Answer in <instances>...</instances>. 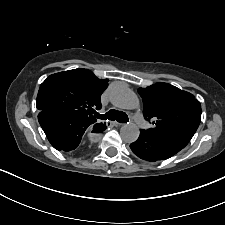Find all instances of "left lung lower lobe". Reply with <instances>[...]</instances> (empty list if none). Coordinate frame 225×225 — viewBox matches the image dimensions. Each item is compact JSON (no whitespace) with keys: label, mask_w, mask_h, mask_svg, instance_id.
<instances>
[{"label":"left lung lower lobe","mask_w":225,"mask_h":225,"mask_svg":"<svg viewBox=\"0 0 225 225\" xmlns=\"http://www.w3.org/2000/svg\"><path fill=\"white\" fill-rule=\"evenodd\" d=\"M190 140L186 137L152 136L141 130L139 138L130 144V148L139 158L155 162L172 157L182 150Z\"/></svg>","instance_id":"1"}]
</instances>
